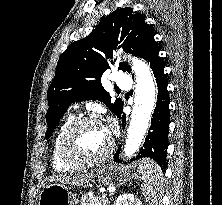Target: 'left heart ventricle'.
<instances>
[{"instance_id":"obj_1","label":"left heart ventricle","mask_w":222,"mask_h":205,"mask_svg":"<svg viewBox=\"0 0 222 205\" xmlns=\"http://www.w3.org/2000/svg\"><path fill=\"white\" fill-rule=\"evenodd\" d=\"M109 141V133L100 124H85L78 128L69 139L72 153L83 159H90L102 154Z\"/></svg>"}]
</instances>
